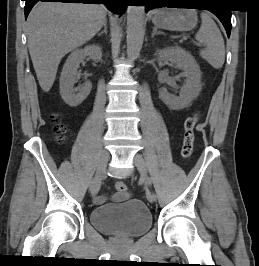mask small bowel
Masks as SVG:
<instances>
[{"mask_svg":"<svg viewBox=\"0 0 259 266\" xmlns=\"http://www.w3.org/2000/svg\"><path fill=\"white\" fill-rule=\"evenodd\" d=\"M128 197H129V194L127 192L123 194L116 192L113 194L112 199L115 202H121V201L126 200ZM105 201H106V197L102 195L97 196L94 199V202L98 205L105 203Z\"/></svg>","mask_w":259,"mask_h":266,"instance_id":"c3829d8e","label":"small bowel"}]
</instances>
